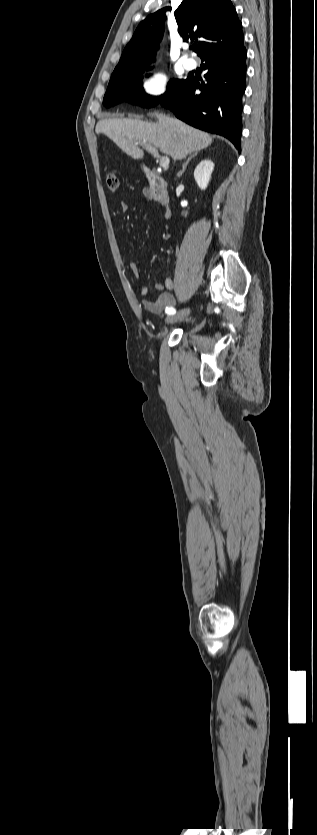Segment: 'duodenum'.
<instances>
[{
  "label": "duodenum",
  "instance_id": "obj_1",
  "mask_svg": "<svg viewBox=\"0 0 317 835\" xmlns=\"http://www.w3.org/2000/svg\"><path fill=\"white\" fill-rule=\"evenodd\" d=\"M143 172L149 182L153 198L161 204L168 202L169 195L164 179L146 167L143 168Z\"/></svg>",
  "mask_w": 317,
  "mask_h": 835
}]
</instances>
